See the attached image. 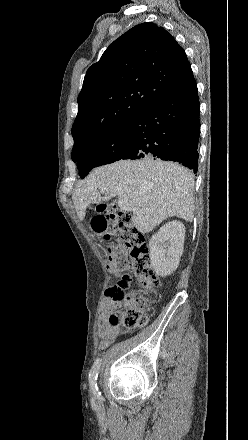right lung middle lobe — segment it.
<instances>
[{"instance_id": "right-lung-middle-lobe-1", "label": "right lung middle lobe", "mask_w": 248, "mask_h": 440, "mask_svg": "<svg viewBox=\"0 0 248 440\" xmlns=\"http://www.w3.org/2000/svg\"><path fill=\"white\" fill-rule=\"evenodd\" d=\"M130 141V128L126 123L99 138L72 149V160L77 162L83 179L91 169L115 162L125 154Z\"/></svg>"}]
</instances>
